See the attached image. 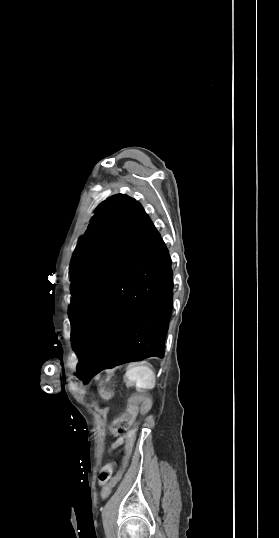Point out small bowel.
<instances>
[{
	"label": "small bowel",
	"instance_id": "c3829d8e",
	"mask_svg": "<svg viewBox=\"0 0 279 538\" xmlns=\"http://www.w3.org/2000/svg\"><path fill=\"white\" fill-rule=\"evenodd\" d=\"M121 443H122V439H120V440L118 441V444H121ZM100 483L103 484V482H100Z\"/></svg>",
	"mask_w": 279,
	"mask_h": 538
}]
</instances>
